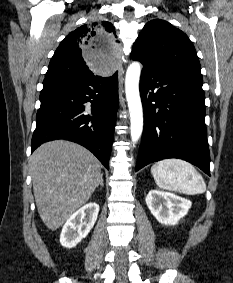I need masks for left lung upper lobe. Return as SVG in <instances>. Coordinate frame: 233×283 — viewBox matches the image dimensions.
I'll return each mask as SVG.
<instances>
[{"mask_svg":"<svg viewBox=\"0 0 233 283\" xmlns=\"http://www.w3.org/2000/svg\"><path fill=\"white\" fill-rule=\"evenodd\" d=\"M131 58L153 68H180L201 74L199 59L187 35L160 19L144 26L133 44Z\"/></svg>","mask_w":233,"mask_h":283,"instance_id":"left-lung-upper-lobe-1","label":"left lung upper lobe"}]
</instances>
